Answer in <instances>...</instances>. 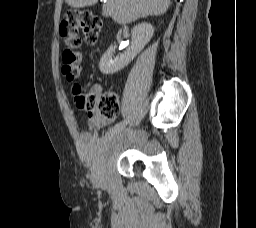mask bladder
Instances as JSON below:
<instances>
[{
    "mask_svg": "<svg viewBox=\"0 0 256 228\" xmlns=\"http://www.w3.org/2000/svg\"><path fill=\"white\" fill-rule=\"evenodd\" d=\"M138 143L137 137L112 129L104 136L88 139L84 151L91 168L96 173H102L122 153L137 146Z\"/></svg>",
    "mask_w": 256,
    "mask_h": 228,
    "instance_id": "obj_1",
    "label": "bladder"
}]
</instances>
